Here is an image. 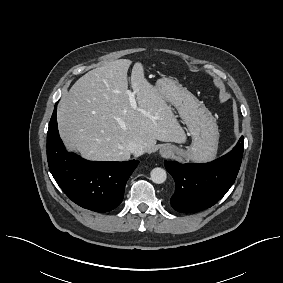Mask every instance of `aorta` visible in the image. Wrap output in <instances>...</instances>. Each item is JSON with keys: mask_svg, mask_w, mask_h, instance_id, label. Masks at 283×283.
Listing matches in <instances>:
<instances>
[{"mask_svg": "<svg viewBox=\"0 0 283 283\" xmlns=\"http://www.w3.org/2000/svg\"><path fill=\"white\" fill-rule=\"evenodd\" d=\"M151 180L156 184H162L166 181L167 174L163 168L156 167L150 173Z\"/></svg>", "mask_w": 283, "mask_h": 283, "instance_id": "762f6f07", "label": "aorta"}]
</instances>
